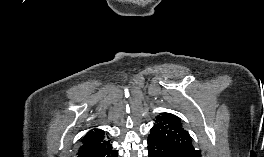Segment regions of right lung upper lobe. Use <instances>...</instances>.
I'll use <instances>...</instances> for the list:
<instances>
[{
  "instance_id": "right-lung-upper-lobe-1",
  "label": "right lung upper lobe",
  "mask_w": 264,
  "mask_h": 157,
  "mask_svg": "<svg viewBox=\"0 0 264 157\" xmlns=\"http://www.w3.org/2000/svg\"><path fill=\"white\" fill-rule=\"evenodd\" d=\"M102 141H104V131L100 130V129H94V130H90L82 139V146L79 149L83 150L86 149L88 147H91L95 144L101 143Z\"/></svg>"
}]
</instances>
